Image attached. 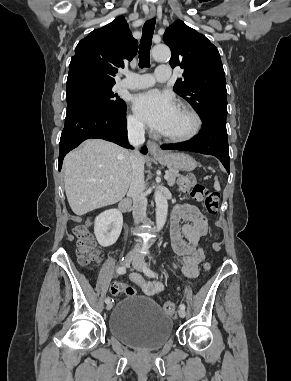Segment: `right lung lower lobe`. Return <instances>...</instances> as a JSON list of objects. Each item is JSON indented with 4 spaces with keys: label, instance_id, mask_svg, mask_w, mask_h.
<instances>
[{
    "label": "right lung lower lobe",
    "instance_id": "98d812e1",
    "mask_svg": "<svg viewBox=\"0 0 291 381\" xmlns=\"http://www.w3.org/2000/svg\"><path fill=\"white\" fill-rule=\"evenodd\" d=\"M67 112L59 144V170L64 156L89 138L114 142L132 148L127 140L126 108L119 111H104L88 96L73 92L66 94ZM147 153V148L141 150Z\"/></svg>",
    "mask_w": 291,
    "mask_h": 381
}]
</instances>
